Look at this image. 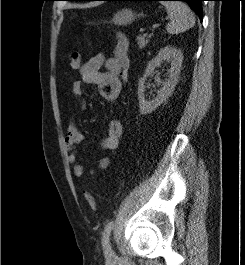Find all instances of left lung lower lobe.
I'll use <instances>...</instances> for the list:
<instances>
[{
	"label": "left lung lower lobe",
	"mask_w": 245,
	"mask_h": 265,
	"mask_svg": "<svg viewBox=\"0 0 245 265\" xmlns=\"http://www.w3.org/2000/svg\"><path fill=\"white\" fill-rule=\"evenodd\" d=\"M80 1H101V0H80ZM105 1H162V0H105ZM178 1H184L188 3L202 20V1L204 0H178Z\"/></svg>",
	"instance_id": "left-lung-lower-lobe-1"
}]
</instances>
